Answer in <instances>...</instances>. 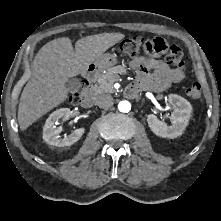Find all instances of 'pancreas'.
<instances>
[{"label": "pancreas", "mask_w": 221, "mask_h": 221, "mask_svg": "<svg viewBox=\"0 0 221 221\" xmlns=\"http://www.w3.org/2000/svg\"><path fill=\"white\" fill-rule=\"evenodd\" d=\"M126 72V68L121 65L107 69L105 73L97 76V83L92 86V91L95 94L113 93L115 91L113 83L118 80L119 74H126Z\"/></svg>", "instance_id": "obj_1"}]
</instances>
